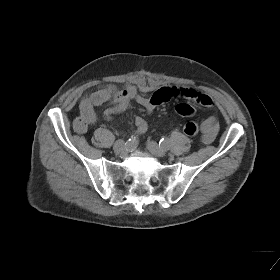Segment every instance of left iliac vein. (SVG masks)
Wrapping results in <instances>:
<instances>
[{
    "mask_svg": "<svg viewBox=\"0 0 280 280\" xmlns=\"http://www.w3.org/2000/svg\"><path fill=\"white\" fill-rule=\"evenodd\" d=\"M147 148L154 156L157 157H163L166 154V150L154 141H149Z\"/></svg>",
    "mask_w": 280,
    "mask_h": 280,
    "instance_id": "4c4485c4",
    "label": "left iliac vein"
}]
</instances>
